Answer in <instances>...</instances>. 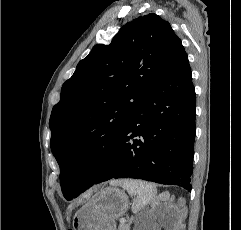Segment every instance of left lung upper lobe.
<instances>
[{
    "instance_id": "obj_1",
    "label": "left lung upper lobe",
    "mask_w": 241,
    "mask_h": 230,
    "mask_svg": "<svg viewBox=\"0 0 241 230\" xmlns=\"http://www.w3.org/2000/svg\"><path fill=\"white\" fill-rule=\"evenodd\" d=\"M186 53L170 24L151 13L124 25L109 45H96L62 86L51 113L50 146L63 195L78 196L74 165L99 141H115L134 110Z\"/></svg>"
}]
</instances>
